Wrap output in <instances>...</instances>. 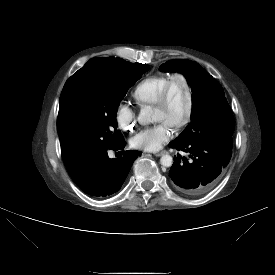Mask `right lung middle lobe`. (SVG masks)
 <instances>
[{
  "mask_svg": "<svg viewBox=\"0 0 275 275\" xmlns=\"http://www.w3.org/2000/svg\"><path fill=\"white\" fill-rule=\"evenodd\" d=\"M148 69L141 63L98 64L67 80L57 119L63 160L102 155L123 139L117 130L118 106Z\"/></svg>",
  "mask_w": 275,
  "mask_h": 275,
  "instance_id": "obj_1",
  "label": "right lung middle lobe"
}]
</instances>
